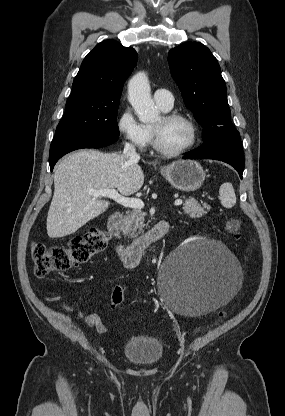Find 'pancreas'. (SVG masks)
Wrapping results in <instances>:
<instances>
[{
	"label": "pancreas",
	"instance_id": "obj_1",
	"mask_svg": "<svg viewBox=\"0 0 285 416\" xmlns=\"http://www.w3.org/2000/svg\"><path fill=\"white\" fill-rule=\"evenodd\" d=\"M181 198H185V196H181ZM204 208L209 210L210 206H207V204L201 206L194 198H189V200H186L185 204H183L182 210H184L185 214H188L190 218H202L204 214H207V212H204ZM145 216H147L146 212H141V210H136V208H134V210H129L127 216H125L123 220L122 230L128 232L130 238H137V236L143 232Z\"/></svg>",
	"mask_w": 285,
	"mask_h": 416
}]
</instances>
